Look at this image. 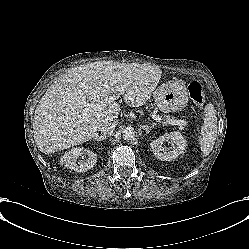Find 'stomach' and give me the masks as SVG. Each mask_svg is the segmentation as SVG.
<instances>
[{
  "mask_svg": "<svg viewBox=\"0 0 249 249\" xmlns=\"http://www.w3.org/2000/svg\"><path fill=\"white\" fill-rule=\"evenodd\" d=\"M155 104L164 112L182 110L188 102V91L182 83L168 82L153 92Z\"/></svg>",
  "mask_w": 249,
  "mask_h": 249,
  "instance_id": "obj_1",
  "label": "stomach"
}]
</instances>
